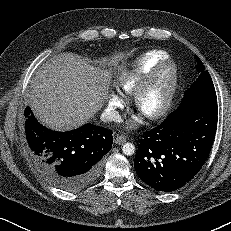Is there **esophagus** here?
Listing matches in <instances>:
<instances>
[{
  "mask_svg": "<svg viewBox=\"0 0 231 231\" xmlns=\"http://www.w3.org/2000/svg\"><path fill=\"white\" fill-rule=\"evenodd\" d=\"M127 141V138L124 136V135H118L116 138H115V143L116 144H123Z\"/></svg>",
  "mask_w": 231,
  "mask_h": 231,
  "instance_id": "1",
  "label": "esophagus"
}]
</instances>
